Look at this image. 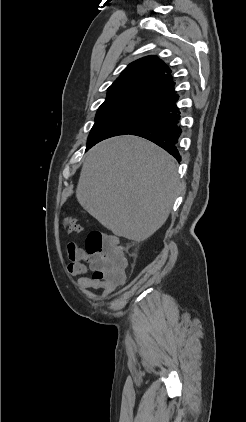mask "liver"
Returning <instances> with one entry per match:
<instances>
[{
  "instance_id": "obj_1",
  "label": "liver",
  "mask_w": 246,
  "mask_h": 422,
  "mask_svg": "<svg viewBox=\"0 0 246 422\" xmlns=\"http://www.w3.org/2000/svg\"><path fill=\"white\" fill-rule=\"evenodd\" d=\"M180 189L171 155L150 141L125 135L88 151L76 198L114 235L139 242L164 225Z\"/></svg>"
}]
</instances>
